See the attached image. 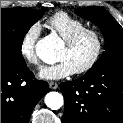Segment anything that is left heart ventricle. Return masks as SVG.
<instances>
[{"label": "left heart ventricle", "instance_id": "b2bd125f", "mask_svg": "<svg viewBox=\"0 0 123 123\" xmlns=\"http://www.w3.org/2000/svg\"><path fill=\"white\" fill-rule=\"evenodd\" d=\"M94 50L95 40L88 35L80 39L72 48L63 45L58 53L57 60H67L77 70L91 59Z\"/></svg>", "mask_w": 123, "mask_h": 123}]
</instances>
